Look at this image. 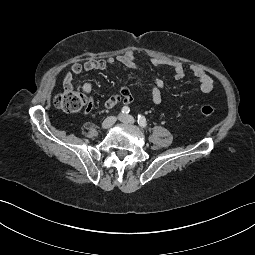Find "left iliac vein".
Instances as JSON below:
<instances>
[{"label": "left iliac vein", "mask_w": 255, "mask_h": 255, "mask_svg": "<svg viewBox=\"0 0 255 255\" xmlns=\"http://www.w3.org/2000/svg\"><path fill=\"white\" fill-rule=\"evenodd\" d=\"M119 120L123 123L133 124L135 119L131 115H121Z\"/></svg>", "instance_id": "1"}]
</instances>
